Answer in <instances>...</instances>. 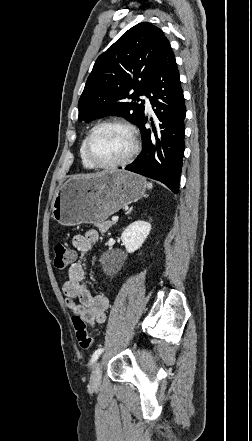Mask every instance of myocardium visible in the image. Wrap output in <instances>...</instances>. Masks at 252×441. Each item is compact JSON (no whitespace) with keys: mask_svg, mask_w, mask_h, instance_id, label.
I'll return each mask as SVG.
<instances>
[{"mask_svg":"<svg viewBox=\"0 0 252 441\" xmlns=\"http://www.w3.org/2000/svg\"><path fill=\"white\" fill-rule=\"evenodd\" d=\"M104 126H118L121 127L123 129H125L130 137L131 140V148L129 150V152L119 161L113 162V163H99L96 160H94L90 154V142L92 137L94 136V134L96 133V131ZM139 150V141H138V136H137V132L136 129L134 128V126L132 124H130L127 121L124 120H120V119H108V120H104L101 121L99 123H97L88 133V135L85 138V143H84V155L87 159V161L94 167V168H99V169H115V168H120L125 166L126 164H128L133 158L134 156L137 154Z\"/></svg>","mask_w":252,"mask_h":441,"instance_id":"obj_1","label":"myocardium"}]
</instances>
